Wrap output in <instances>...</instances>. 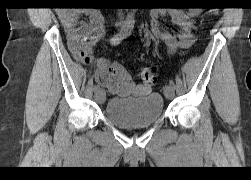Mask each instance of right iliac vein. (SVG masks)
I'll return each mask as SVG.
<instances>
[{"label":"right iliac vein","mask_w":251,"mask_h":180,"mask_svg":"<svg viewBox=\"0 0 251 180\" xmlns=\"http://www.w3.org/2000/svg\"><path fill=\"white\" fill-rule=\"evenodd\" d=\"M95 100L97 103L102 104L105 101L106 94L103 89H99L98 91L95 92Z\"/></svg>","instance_id":"1"}]
</instances>
